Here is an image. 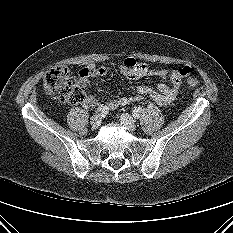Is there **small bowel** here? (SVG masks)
Instances as JSON below:
<instances>
[{
  "instance_id": "1",
  "label": "small bowel",
  "mask_w": 233,
  "mask_h": 233,
  "mask_svg": "<svg viewBox=\"0 0 233 233\" xmlns=\"http://www.w3.org/2000/svg\"><path fill=\"white\" fill-rule=\"evenodd\" d=\"M108 66H96L90 64L83 68L79 73L78 86L85 93L84 104L88 107H94L98 104V100L89 92L90 78L105 76L110 72ZM119 72L128 80L136 81L145 77H158L167 79L171 85L164 83L158 84L156 87L140 85L136 90V94L132 96H122L118 99H112L106 103L110 109H116L120 106H126L132 102L143 98H150L156 104L165 106L171 103L178 92L181 83L180 68L154 69L146 63L138 62L135 58L127 56L123 59L122 64L118 68Z\"/></svg>"
}]
</instances>
